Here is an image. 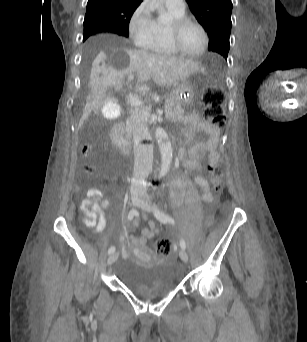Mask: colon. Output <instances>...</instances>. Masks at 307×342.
Wrapping results in <instances>:
<instances>
[{
	"instance_id": "colon-1",
	"label": "colon",
	"mask_w": 307,
	"mask_h": 342,
	"mask_svg": "<svg viewBox=\"0 0 307 342\" xmlns=\"http://www.w3.org/2000/svg\"><path fill=\"white\" fill-rule=\"evenodd\" d=\"M225 92L226 89L224 87H206L203 99L206 119L219 129L225 128L227 125V117L223 109ZM82 154L84 156L90 155L91 146L85 145L82 148ZM83 170L86 174L91 175L93 172L92 164H85ZM209 174L211 176V181L215 186V190L221 191L222 166L219 163L211 162L209 164ZM171 248V242L166 237H162L157 241L155 250L158 256L166 257L170 254Z\"/></svg>"
}]
</instances>
